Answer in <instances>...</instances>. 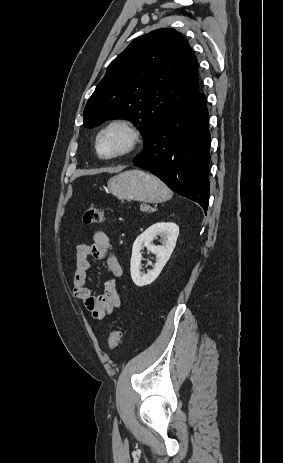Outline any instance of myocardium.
Returning <instances> with one entry per match:
<instances>
[{"label": "myocardium", "instance_id": "obj_1", "mask_svg": "<svg viewBox=\"0 0 283 463\" xmlns=\"http://www.w3.org/2000/svg\"><path fill=\"white\" fill-rule=\"evenodd\" d=\"M113 129H121L123 130L126 135H127V142L125 146L117 151L114 154L108 155V156H103L99 152V142L100 139L104 134L107 132L113 130ZM141 132L138 126L131 120L125 119V118H117L113 119L107 124H105L96 134L95 137V143H94V148L97 156L100 159L103 160H113V159H118L124 156H127L131 153H133L137 147L139 146L141 142Z\"/></svg>", "mask_w": 283, "mask_h": 463}]
</instances>
